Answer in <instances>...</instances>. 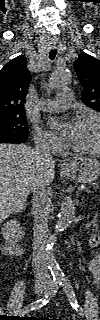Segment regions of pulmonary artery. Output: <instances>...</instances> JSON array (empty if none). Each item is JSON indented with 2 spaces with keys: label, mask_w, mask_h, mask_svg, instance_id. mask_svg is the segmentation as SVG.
<instances>
[{
  "label": "pulmonary artery",
  "mask_w": 100,
  "mask_h": 320,
  "mask_svg": "<svg viewBox=\"0 0 100 320\" xmlns=\"http://www.w3.org/2000/svg\"><path fill=\"white\" fill-rule=\"evenodd\" d=\"M59 98L47 99L40 102V108L44 111H59L73 103L72 93L69 89H62L58 93Z\"/></svg>",
  "instance_id": "e3ab8cb5"
}]
</instances>
